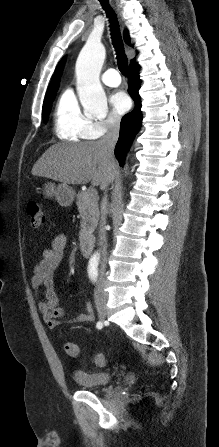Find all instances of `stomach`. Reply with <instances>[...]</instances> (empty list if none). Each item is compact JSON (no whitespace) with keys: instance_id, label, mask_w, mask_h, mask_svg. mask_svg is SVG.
<instances>
[{"instance_id":"1","label":"stomach","mask_w":219,"mask_h":447,"mask_svg":"<svg viewBox=\"0 0 219 447\" xmlns=\"http://www.w3.org/2000/svg\"><path fill=\"white\" fill-rule=\"evenodd\" d=\"M44 193L47 197L55 196L57 202L61 206H70L75 197V191L68 185L62 183L55 185L54 183L45 184Z\"/></svg>"}]
</instances>
